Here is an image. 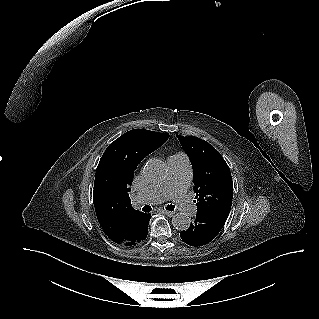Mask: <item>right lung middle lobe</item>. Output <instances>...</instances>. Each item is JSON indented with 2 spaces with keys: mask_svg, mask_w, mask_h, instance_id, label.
<instances>
[{
  "mask_svg": "<svg viewBox=\"0 0 319 319\" xmlns=\"http://www.w3.org/2000/svg\"><path fill=\"white\" fill-rule=\"evenodd\" d=\"M123 175V166L114 160H105L98 165L94 182V195H103L117 189Z\"/></svg>",
  "mask_w": 319,
  "mask_h": 319,
  "instance_id": "right-lung-middle-lobe-1",
  "label": "right lung middle lobe"
}]
</instances>
